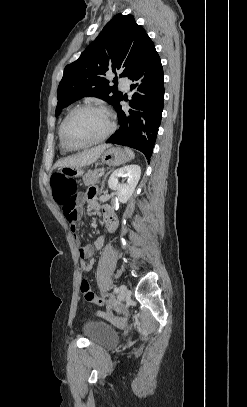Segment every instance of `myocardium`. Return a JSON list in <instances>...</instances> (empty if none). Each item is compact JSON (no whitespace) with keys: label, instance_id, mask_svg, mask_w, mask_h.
<instances>
[{"label":"myocardium","instance_id":"f54148a6","mask_svg":"<svg viewBox=\"0 0 247 407\" xmlns=\"http://www.w3.org/2000/svg\"><path fill=\"white\" fill-rule=\"evenodd\" d=\"M85 109L97 110V111L102 112L108 119L109 127H108V130L104 133V135H102L98 139L91 141L89 143H86V144H82V145H73L66 138V135H65L66 125H67L68 121L70 120V118L75 113H77L78 111H81V110H85ZM114 130H115V123L112 118V115L104 106L86 103V104H81V105L76 106L65 116V118L63 119V121L61 123L60 139L66 149H68L70 151H75V150H81V149H85V148L94 146L96 144H99V143L107 140L112 135Z\"/></svg>","mask_w":247,"mask_h":407}]
</instances>
